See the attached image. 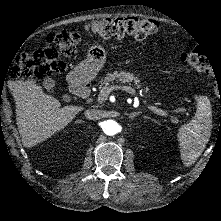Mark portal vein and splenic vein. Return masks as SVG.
Wrapping results in <instances>:
<instances>
[{
    "label": "portal vein and splenic vein",
    "mask_w": 221,
    "mask_h": 221,
    "mask_svg": "<svg viewBox=\"0 0 221 221\" xmlns=\"http://www.w3.org/2000/svg\"><path fill=\"white\" fill-rule=\"evenodd\" d=\"M114 91V86L113 85H108L107 89H105L103 91V93H101L99 95V97L97 98V101L99 103H102L104 101V99L106 98V96H108L110 94V92ZM121 92L122 93H126V94H130L131 96H136L137 95V90L136 89H132L131 87H127V86H122L121 87ZM141 104L149 111L153 112L155 115L158 116H166L167 112L163 111L162 109L156 107L154 104L149 103L146 99H143L141 101Z\"/></svg>",
    "instance_id": "1"
}]
</instances>
